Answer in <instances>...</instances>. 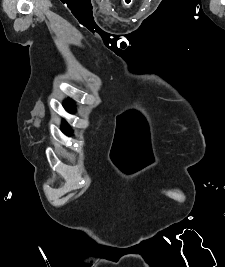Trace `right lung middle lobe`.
I'll return each instance as SVG.
<instances>
[{
	"label": "right lung middle lobe",
	"instance_id": "dd1d6c3e",
	"mask_svg": "<svg viewBox=\"0 0 225 267\" xmlns=\"http://www.w3.org/2000/svg\"><path fill=\"white\" fill-rule=\"evenodd\" d=\"M64 106H65V108H66V110L68 112H73L74 111L73 106L70 105L69 103L64 104ZM63 132L66 133V134H72V130H70L67 126H64Z\"/></svg>",
	"mask_w": 225,
	"mask_h": 267
}]
</instances>
